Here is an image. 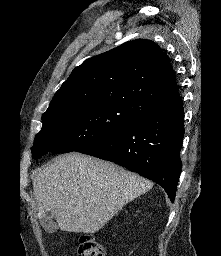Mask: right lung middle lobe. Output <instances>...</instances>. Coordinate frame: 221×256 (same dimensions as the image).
<instances>
[{
  "label": "right lung middle lobe",
  "instance_id": "obj_1",
  "mask_svg": "<svg viewBox=\"0 0 221 256\" xmlns=\"http://www.w3.org/2000/svg\"><path fill=\"white\" fill-rule=\"evenodd\" d=\"M137 114L115 104H97L46 113L35 136L32 156L77 151L116 128L138 119Z\"/></svg>",
  "mask_w": 221,
  "mask_h": 256
}]
</instances>
